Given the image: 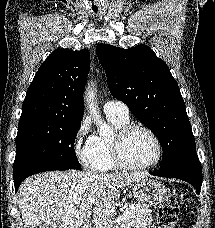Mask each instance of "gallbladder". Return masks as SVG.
I'll return each instance as SVG.
<instances>
[{
  "label": "gallbladder",
  "mask_w": 215,
  "mask_h": 228,
  "mask_svg": "<svg viewBox=\"0 0 215 228\" xmlns=\"http://www.w3.org/2000/svg\"><path fill=\"white\" fill-rule=\"evenodd\" d=\"M44 228H51V226H47V224H46V226H44Z\"/></svg>",
  "instance_id": "bac80fb5"
}]
</instances>
